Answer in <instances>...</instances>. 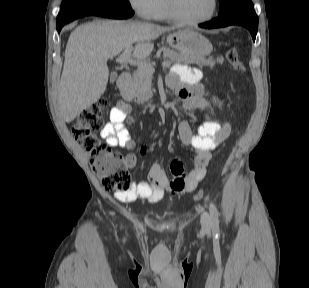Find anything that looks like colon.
I'll return each instance as SVG.
<instances>
[{
    "instance_id": "5ec220e1",
    "label": "colon",
    "mask_w": 309,
    "mask_h": 288,
    "mask_svg": "<svg viewBox=\"0 0 309 288\" xmlns=\"http://www.w3.org/2000/svg\"><path fill=\"white\" fill-rule=\"evenodd\" d=\"M226 59L236 71L243 72L244 67L236 49H229ZM108 105V100L102 97L83 109L72 126V134L89 154V164L104 189L115 194H124L131 189V176L127 170L126 158L113 151L111 146L95 133L104 123ZM168 190L170 191L169 188ZM202 197L203 189L200 188L194 193L193 199L198 201Z\"/></svg>"
}]
</instances>
